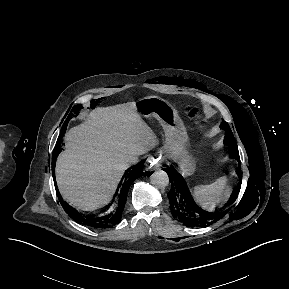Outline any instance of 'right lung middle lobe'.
Here are the masks:
<instances>
[{
	"label": "right lung middle lobe",
	"mask_w": 289,
	"mask_h": 289,
	"mask_svg": "<svg viewBox=\"0 0 289 289\" xmlns=\"http://www.w3.org/2000/svg\"><path fill=\"white\" fill-rule=\"evenodd\" d=\"M81 108H82L81 105H76V106H74V107L72 108V110H73L74 113L77 114V113H78L77 111L80 110ZM72 115H73V114H70V115H69V117L67 118V120L64 122V125H67V123L69 122L70 116H72ZM64 125H63V126H64Z\"/></svg>",
	"instance_id": "dd1d6c3e"
}]
</instances>
